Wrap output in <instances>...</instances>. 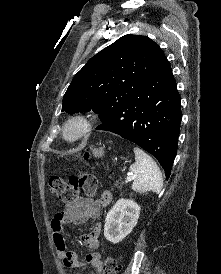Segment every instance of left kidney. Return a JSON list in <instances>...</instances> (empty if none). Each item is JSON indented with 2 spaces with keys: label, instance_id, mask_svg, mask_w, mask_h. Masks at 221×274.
Instances as JSON below:
<instances>
[{
  "label": "left kidney",
  "instance_id": "obj_1",
  "mask_svg": "<svg viewBox=\"0 0 221 274\" xmlns=\"http://www.w3.org/2000/svg\"><path fill=\"white\" fill-rule=\"evenodd\" d=\"M140 206L129 199H119L107 213L104 225V237L113 244L119 243L136 226Z\"/></svg>",
  "mask_w": 221,
  "mask_h": 274
}]
</instances>
